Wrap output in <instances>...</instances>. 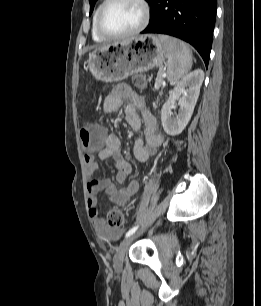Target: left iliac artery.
<instances>
[{
    "label": "left iliac artery",
    "instance_id": "1",
    "mask_svg": "<svg viewBox=\"0 0 261 306\" xmlns=\"http://www.w3.org/2000/svg\"><path fill=\"white\" fill-rule=\"evenodd\" d=\"M138 227H139V226H134V227H132V228L126 233L125 237L127 238V237L131 236L132 234H134V233L136 232V230L138 229Z\"/></svg>",
    "mask_w": 261,
    "mask_h": 306
}]
</instances>
